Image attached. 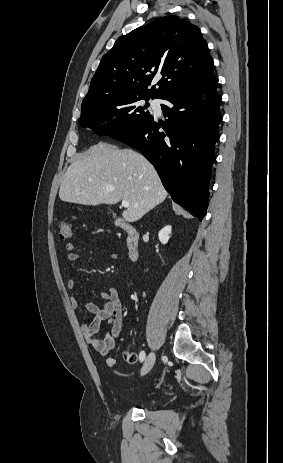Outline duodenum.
Wrapping results in <instances>:
<instances>
[{
    "mask_svg": "<svg viewBox=\"0 0 283 463\" xmlns=\"http://www.w3.org/2000/svg\"><path fill=\"white\" fill-rule=\"evenodd\" d=\"M117 226L127 234L129 258L136 262L139 259V234L137 229L125 220H119Z\"/></svg>",
    "mask_w": 283,
    "mask_h": 463,
    "instance_id": "duodenum-1",
    "label": "duodenum"
}]
</instances>
